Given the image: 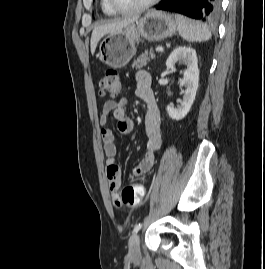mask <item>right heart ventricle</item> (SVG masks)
<instances>
[{
  "label": "right heart ventricle",
  "instance_id": "obj_1",
  "mask_svg": "<svg viewBox=\"0 0 265 269\" xmlns=\"http://www.w3.org/2000/svg\"><path fill=\"white\" fill-rule=\"evenodd\" d=\"M100 6H101V9H102L103 13L106 14V15L112 16V15L117 14V12H115L111 8L108 0H100Z\"/></svg>",
  "mask_w": 265,
  "mask_h": 269
}]
</instances>
